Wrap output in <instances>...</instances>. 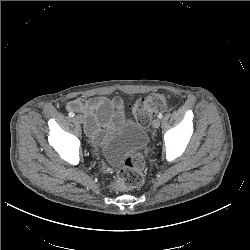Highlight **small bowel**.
<instances>
[{
  "label": "small bowel",
  "mask_w": 250,
  "mask_h": 250,
  "mask_svg": "<svg viewBox=\"0 0 250 250\" xmlns=\"http://www.w3.org/2000/svg\"><path fill=\"white\" fill-rule=\"evenodd\" d=\"M119 98L110 100L106 97L76 98L67 104L69 111L80 113L84 117V128L88 136L99 141L102 138L101 127H104L115 108H120Z\"/></svg>",
  "instance_id": "small-bowel-1"
}]
</instances>
